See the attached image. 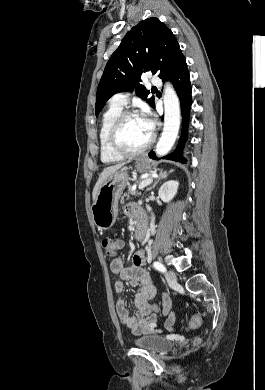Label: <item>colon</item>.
Wrapping results in <instances>:
<instances>
[{
	"label": "colon",
	"instance_id": "5ec220e1",
	"mask_svg": "<svg viewBox=\"0 0 265 390\" xmlns=\"http://www.w3.org/2000/svg\"><path fill=\"white\" fill-rule=\"evenodd\" d=\"M102 247L105 251L106 256L108 257H115L117 253L115 240L112 237L106 236L101 241ZM155 306V305H154ZM155 311H158V307L155 306ZM204 318L203 313H197L192 320L188 324L189 329H196L198 328Z\"/></svg>",
	"mask_w": 265,
	"mask_h": 390
}]
</instances>
